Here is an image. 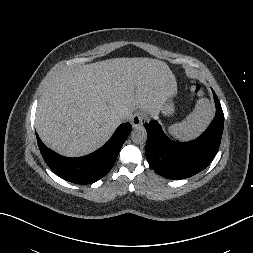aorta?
<instances>
[{"instance_id":"1","label":"aorta","mask_w":253,"mask_h":253,"mask_svg":"<svg viewBox=\"0 0 253 253\" xmlns=\"http://www.w3.org/2000/svg\"><path fill=\"white\" fill-rule=\"evenodd\" d=\"M132 141L136 144H144L147 140V132L143 126L136 127L131 132Z\"/></svg>"}]
</instances>
